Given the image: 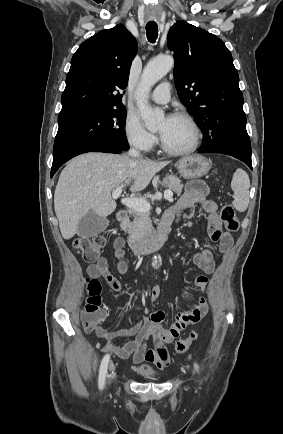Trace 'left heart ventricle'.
<instances>
[{"instance_id":"left-heart-ventricle-1","label":"left heart ventricle","mask_w":283,"mask_h":434,"mask_svg":"<svg viewBox=\"0 0 283 434\" xmlns=\"http://www.w3.org/2000/svg\"><path fill=\"white\" fill-rule=\"evenodd\" d=\"M163 141L173 149H183L192 142V131L189 124L180 118H164L158 125Z\"/></svg>"}]
</instances>
